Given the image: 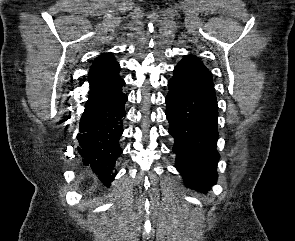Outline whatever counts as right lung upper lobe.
I'll return each mask as SVG.
<instances>
[{
    "label": "right lung upper lobe",
    "instance_id": "obj_1",
    "mask_svg": "<svg viewBox=\"0 0 295 241\" xmlns=\"http://www.w3.org/2000/svg\"><path fill=\"white\" fill-rule=\"evenodd\" d=\"M119 70V63L110 53L100 55L95 59L89 70L90 91L106 88L122 81Z\"/></svg>",
    "mask_w": 295,
    "mask_h": 241
}]
</instances>
